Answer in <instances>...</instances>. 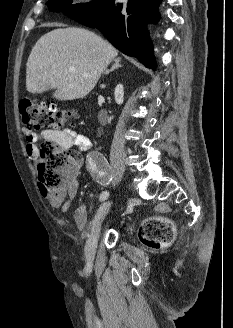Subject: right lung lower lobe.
Listing matches in <instances>:
<instances>
[{
    "label": "right lung lower lobe",
    "mask_w": 233,
    "mask_h": 328,
    "mask_svg": "<svg viewBox=\"0 0 233 328\" xmlns=\"http://www.w3.org/2000/svg\"><path fill=\"white\" fill-rule=\"evenodd\" d=\"M161 0H100L94 6L68 16L79 23L99 28L113 46L128 56L138 58L155 69L152 44L148 41L146 23H157Z\"/></svg>",
    "instance_id": "1"
}]
</instances>
